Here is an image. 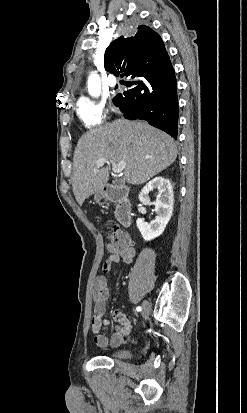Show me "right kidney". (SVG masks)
<instances>
[{"label":"right kidney","instance_id":"ca27d5eb","mask_svg":"<svg viewBox=\"0 0 247 413\" xmlns=\"http://www.w3.org/2000/svg\"><path fill=\"white\" fill-rule=\"evenodd\" d=\"M154 188L161 190V196L156 198L154 202L155 209L153 211L157 215L155 221H151L149 225L145 223L144 219H137L136 221L137 227L145 241H152L155 237L162 235L173 213L174 194L172 184L168 178H163V176H155V178H152L143 186L139 194L140 202L151 204L149 192L154 190Z\"/></svg>","mask_w":247,"mask_h":413}]
</instances>
